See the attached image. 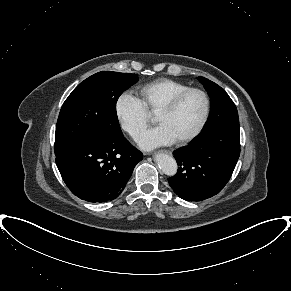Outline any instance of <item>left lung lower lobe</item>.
Masks as SVG:
<instances>
[{
	"mask_svg": "<svg viewBox=\"0 0 291 291\" xmlns=\"http://www.w3.org/2000/svg\"><path fill=\"white\" fill-rule=\"evenodd\" d=\"M239 155V129H217L175 150L174 157L179 168L168 182L184 200L210 198L229 181Z\"/></svg>",
	"mask_w": 291,
	"mask_h": 291,
	"instance_id": "0a47b994",
	"label": "left lung lower lobe"
}]
</instances>
